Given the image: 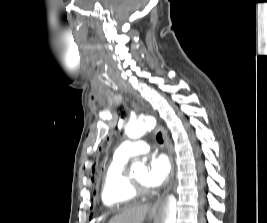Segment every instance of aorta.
Returning <instances> with one entry per match:
<instances>
[{
  "mask_svg": "<svg viewBox=\"0 0 267 223\" xmlns=\"http://www.w3.org/2000/svg\"><path fill=\"white\" fill-rule=\"evenodd\" d=\"M154 127V121L151 119L137 120L129 122L125 132L129 138L138 139L142 137L146 131ZM135 174L146 171L144 163L136 162L131 166ZM177 211V199L174 195H167L160 203L156 223H175Z\"/></svg>",
  "mask_w": 267,
  "mask_h": 223,
  "instance_id": "obj_1",
  "label": "aorta"
}]
</instances>
